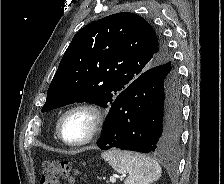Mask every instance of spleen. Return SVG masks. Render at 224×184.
Masks as SVG:
<instances>
[{
	"label": "spleen",
	"instance_id": "1",
	"mask_svg": "<svg viewBox=\"0 0 224 184\" xmlns=\"http://www.w3.org/2000/svg\"><path fill=\"white\" fill-rule=\"evenodd\" d=\"M101 156L115 171L127 174L124 184H151L162 174L160 165L143 154L111 150Z\"/></svg>",
	"mask_w": 224,
	"mask_h": 184
}]
</instances>
